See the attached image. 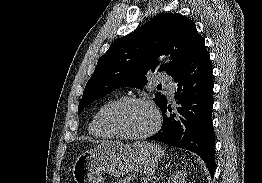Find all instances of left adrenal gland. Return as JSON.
<instances>
[{"mask_svg":"<svg viewBox=\"0 0 262 183\" xmlns=\"http://www.w3.org/2000/svg\"><path fill=\"white\" fill-rule=\"evenodd\" d=\"M168 166H169V164L165 165V168L162 170V172L160 173L159 177L155 181H153V183H156L160 179V177L162 176L163 172L168 168Z\"/></svg>","mask_w":262,"mask_h":183,"instance_id":"a2214340","label":"left adrenal gland"}]
</instances>
